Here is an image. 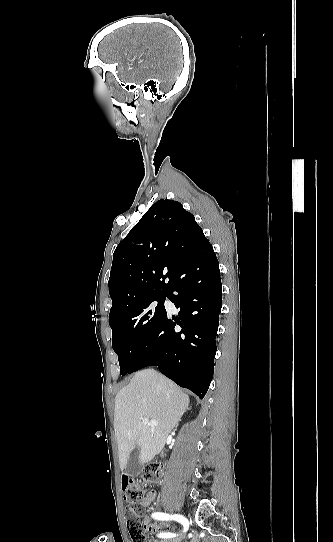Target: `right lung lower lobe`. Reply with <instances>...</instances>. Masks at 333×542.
I'll return each mask as SVG.
<instances>
[{"label": "right lung lower lobe", "instance_id": "right-lung-lower-lobe-1", "mask_svg": "<svg viewBox=\"0 0 333 542\" xmlns=\"http://www.w3.org/2000/svg\"><path fill=\"white\" fill-rule=\"evenodd\" d=\"M177 266L181 277L166 297L180 308L179 317L166 316L161 321L152 344L130 373L158 366L178 385L203 398L213 377L217 350L215 338L222 306L219 264L212 245L205 240L181 249Z\"/></svg>", "mask_w": 333, "mask_h": 542}]
</instances>
